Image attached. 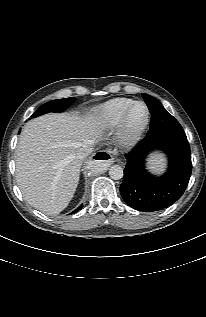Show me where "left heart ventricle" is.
I'll list each match as a JSON object with an SVG mask.
<instances>
[{"mask_svg": "<svg viewBox=\"0 0 206 317\" xmlns=\"http://www.w3.org/2000/svg\"><path fill=\"white\" fill-rule=\"evenodd\" d=\"M146 110L142 105L136 106L132 111L130 122L132 125H137L145 118Z\"/></svg>", "mask_w": 206, "mask_h": 317, "instance_id": "left-heart-ventricle-1", "label": "left heart ventricle"}]
</instances>
